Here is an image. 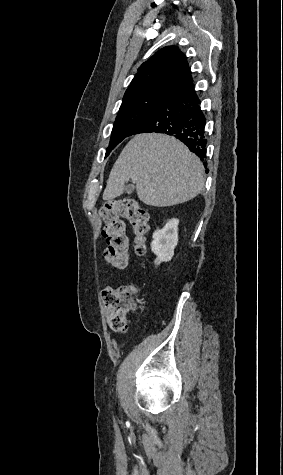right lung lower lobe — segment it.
Returning <instances> with one entry per match:
<instances>
[{"mask_svg":"<svg viewBox=\"0 0 283 475\" xmlns=\"http://www.w3.org/2000/svg\"><path fill=\"white\" fill-rule=\"evenodd\" d=\"M193 81L176 89L146 115L128 134L156 132L171 135L186 144L201 161L206 157L205 116Z\"/></svg>","mask_w":283,"mask_h":475,"instance_id":"obj_1","label":"right lung lower lobe"}]
</instances>
